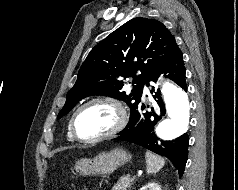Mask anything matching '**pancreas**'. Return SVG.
I'll return each mask as SVG.
<instances>
[{"instance_id": "cf45deb5", "label": "pancreas", "mask_w": 238, "mask_h": 190, "mask_svg": "<svg viewBox=\"0 0 238 190\" xmlns=\"http://www.w3.org/2000/svg\"><path fill=\"white\" fill-rule=\"evenodd\" d=\"M133 182V179L129 176L121 177L117 183L114 185L112 190H127L131 187V184Z\"/></svg>"}]
</instances>
